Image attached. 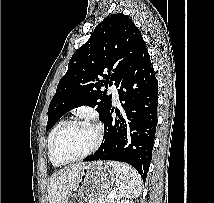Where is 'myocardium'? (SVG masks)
Masks as SVG:
<instances>
[{
  "label": "myocardium",
  "instance_id": "1",
  "mask_svg": "<svg viewBox=\"0 0 214 203\" xmlns=\"http://www.w3.org/2000/svg\"><path fill=\"white\" fill-rule=\"evenodd\" d=\"M79 123H88V124H91L95 128V131H96L95 141H94L93 145L91 146V148L88 151H86L84 154H82L74 159L62 160L59 158L58 151H57L59 139L67 128H69L72 125L79 124ZM102 139H103V129H102V126L97 121L92 120V119H87V118H74V119L66 121L55 134V137L53 140V145H52V155H53L54 159L61 165L75 163V162L81 161V160L89 157L91 154H93L100 146Z\"/></svg>",
  "mask_w": 214,
  "mask_h": 203
}]
</instances>
